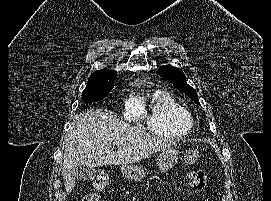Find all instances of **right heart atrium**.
<instances>
[{
  "label": "right heart atrium",
  "mask_w": 271,
  "mask_h": 201,
  "mask_svg": "<svg viewBox=\"0 0 271 201\" xmlns=\"http://www.w3.org/2000/svg\"><path fill=\"white\" fill-rule=\"evenodd\" d=\"M125 117L133 122H137L142 118V111L135 99H129L125 105Z\"/></svg>",
  "instance_id": "obj_1"
}]
</instances>
